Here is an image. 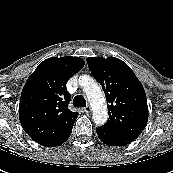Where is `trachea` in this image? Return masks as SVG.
<instances>
[{
	"mask_svg": "<svg viewBox=\"0 0 173 173\" xmlns=\"http://www.w3.org/2000/svg\"><path fill=\"white\" fill-rule=\"evenodd\" d=\"M73 105L74 107H77V108L86 107V100L84 99L83 96L77 95L73 99Z\"/></svg>",
	"mask_w": 173,
	"mask_h": 173,
	"instance_id": "trachea-1",
	"label": "trachea"
}]
</instances>
